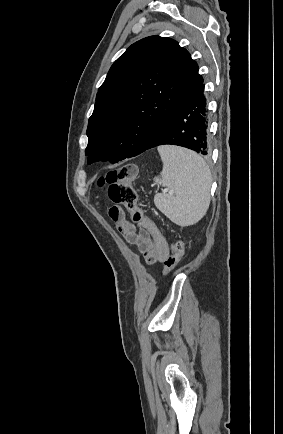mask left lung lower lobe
<instances>
[{
	"label": "left lung lower lobe",
	"instance_id": "1",
	"mask_svg": "<svg viewBox=\"0 0 283 434\" xmlns=\"http://www.w3.org/2000/svg\"><path fill=\"white\" fill-rule=\"evenodd\" d=\"M204 87L203 81L177 103L145 150L171 144L203 155L209 153L208 109Z\"/></svg>",
	"mask_w": 283,
	"mask_h": 434
}]
</instances>
